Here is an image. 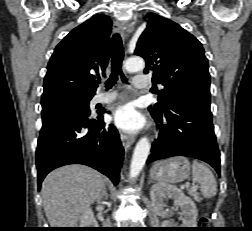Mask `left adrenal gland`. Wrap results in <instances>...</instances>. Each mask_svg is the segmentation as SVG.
I'll list each match as a JSON object with an SVG mask.
<instances>
[{"label": "left adrenal gland", "mask_w": 252, "mask_h": 231, "mask_svg": "<svg viewBox=\"0 0 252 231\" xmlns=\"http://www.w3.org/2000/svg\"><path fill=\"white\" fill-rule=\"evenodd\" d=\"M151 183H152V180H151V179H149L148 184H151Z\"/></svg>", "instance_id": "a2214340"}]
</instances>
